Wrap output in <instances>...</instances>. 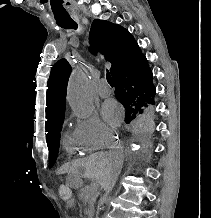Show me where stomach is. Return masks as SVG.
<instances>
[{
	"mask_svg": "<svg viewBox=\"0 0 211 218\" xmlns=\"http://www.w3.org/2000/svg\"><path fill=\"white\" fill-rule=\"evenodd\" d=\"M68 183L71 188L78 189L83 186V181L80 176L74 173L68 175Z\"/></svg>",
	"mask_w": 211,
	"mask_h": 218,
	"instance_id": "stomach-1",
	"label": "stomach"
}]
</instances>
